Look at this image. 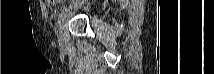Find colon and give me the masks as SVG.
<instances>
[{
	"label": "colon",
	"instance_id": "obj_1",
	"mask_svg": "<svg viewBox=\"0 0 214 74\" xmlns=\"http://www.w3.org/2000/svg\"><path fill=\"white\" fill-rule=\"evenodd\" d=\"M64 1L63 0H47V3L50 5V6H53L57 3H63Z\"/></svg>",
	"mask_w": 214,
	"mask_h": 74
}]
</instances>
